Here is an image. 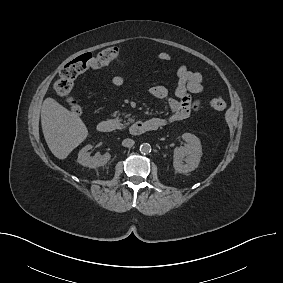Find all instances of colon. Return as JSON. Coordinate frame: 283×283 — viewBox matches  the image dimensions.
Segmentation results:
<instances>
[{"label": "colon", "instance_id": "5ec220e1", "mask_svg": "<svg viewBox=\"0 0 283 283\" xmlns=\"http://www.w3.org/2000/svg\"><path fill=\"white\" fill-rule=\"evenodd\" d=\"M121 58V51L117 47L108 48L97 55L85 53L68 62L60 71L59 78L54 84L55 92L63 98L70 111L79 114L81 106L71 96L75 79L88 69L106 66ZM208 105L216 111L222 112L226 108V103L221 98L209 100Z\"/></svg>", "mask_w": 283, "mask_h": 283}]
</instances>
